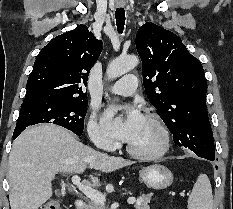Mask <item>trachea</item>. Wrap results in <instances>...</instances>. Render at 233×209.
Segmentation results:
<instances>
[{"label":"trachea","instance_id":"obj_1","mask_svg":"<svg viewBox=\"0 0 233 209\" xmlns=\"http://www.w3.org/2000/svg\"><path fill=\"white\" fill-rule=\"evenodd\" d=\"M117 30L120 34L123 33L125 25V10L123 8H117L115 11Z\"/></svg>","mask_w":233,"mask_h":209}]
</instances>
